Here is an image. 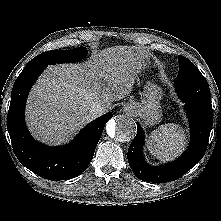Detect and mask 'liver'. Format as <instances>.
Listing matches in <instances>:
<instances>
[{"mask_svg":"<svg viewBox=\"0 0 221 221\" xmlns=\"http://www.w3.org/2000/svg\"><path fill=\"white\" fill-rule=\"evenodd\" d=\"M146 54L135 46H114L82 64L48 66L33 86L26 105L32 135L46 144L67 143L94 117L90 107L105 111L132 91Z\"/></svg>","mask_w":221,"mask_h":221,"instance_id":"1","label":"liver"}]
</instances>
